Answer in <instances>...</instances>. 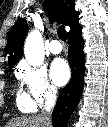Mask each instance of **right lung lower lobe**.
I'll use <instances>...</instances> for the list:
<instances>
[{
  "label": "right lung lower lobe",
  "mask_w": 108,
  "mask_h": 127,
  "mask_svg": "<svg viewBox=\"0 0 108 127\" xmlns=\"http://www.w3.org/2000/svg\"><path fill=\"white\" fill-rule=\"evenodd\" d=\"M68 60L71 66L72 79L60 93L53 110L52 123L54 127H66L71 113L80 101L85 74V56L83 53L84 40L82 27L78 26L68 33Z\"/></svg>",
  "instance_id": "obj_1"
}]
</instances>
